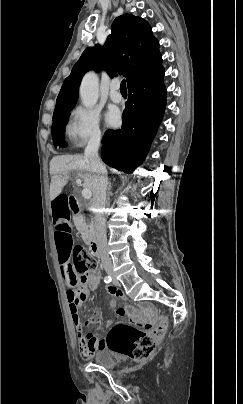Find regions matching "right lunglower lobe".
<instances>
[{"label": "right lung lower lobe", "mask_w": 243, "mask_h": 404, "mask_svg": "<svg viewBox=\"0 0 243 404\" xmlns=\"http://www.w3.org/2000/svg\"><path fill=\"white\" fill-rule=\"evenodd\" d=\"M163 76L161 65L128 85L122 128L107 130L102 140V160L109 166L131 173L144 160L166 106Z\"/></svg>", "instance_id": "right-lung-lower-lobe-1"}]
</instances>
